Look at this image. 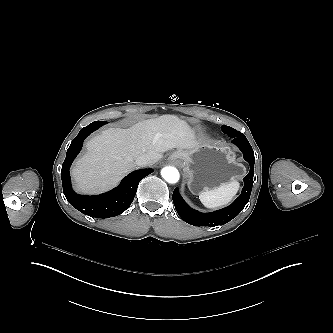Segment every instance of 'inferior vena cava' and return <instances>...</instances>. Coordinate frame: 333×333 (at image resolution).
Wrapping results in <instances>:
<instances>
[{"label": "inferior vena cava", "mask_w": 333, "mask_h": 333, "mask_svg": "<svg viewBox=\"0 0 333 333\" xmlns=\"http://www.w3.org/2000/svg\"><path fill=\"white\" fill-rule=\"evenodd\" d=\"M135 163L137 166H146L150 165V158L146 155H142L136 158Z\"/></svg>", "instance_id": "1"}]
</instances>
